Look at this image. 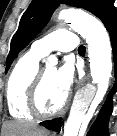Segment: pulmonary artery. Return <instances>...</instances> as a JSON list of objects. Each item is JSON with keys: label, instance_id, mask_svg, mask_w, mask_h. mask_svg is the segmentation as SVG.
Segmentation results:
<instances>
[{"label": "pulmonary artery", "instance_id": "1", "mask_svg": "<svg viewBox=\"0 0 117 136\" xmlns=\"http://www.w3.org/2000/svg\"><path fill=\"white\" fill-rule=\"evenodd\" d=\"M78 47V37L73 31L59 29L33 42L31 50L44 57L52 51L68 52Z\"/></svg>", "mask_w": 117, "mask_h": 136}]
</instances>
